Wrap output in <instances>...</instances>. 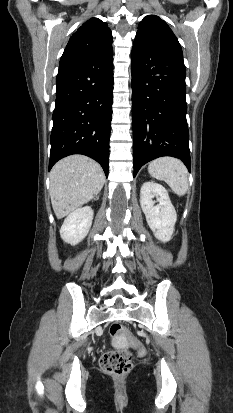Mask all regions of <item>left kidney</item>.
Wrapping results in <instances>:
<instances>
[{"label":"left kidney","instance_id":"1","mask_svg":"<svg viewBox=\"0 0 233 413\" xmlns=\"http://www.w3.org/2000/svg\"><path fill=\"white\" fill-rule=\"evenodd\" d=\"M154 197L159 204L155 205ZM140 204L155 237L163 243L170 241L177 214L167 190L160 184L145 182L140 191Z\"/></svg>","mask_w":233,"mask_h":413}]
</instances>
